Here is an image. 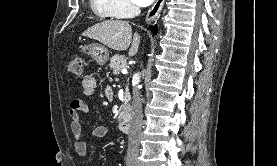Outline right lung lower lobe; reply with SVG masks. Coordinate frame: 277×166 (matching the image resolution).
<instances>
[{"instance_id": "obj_1", "label": "right lung lower lobe", "mask_w": 277, "mask_h": 166, "mask_svg": "<svg viewBox=\"0 0 277 166\" xmlns=\"http://www.w3.org/2000/svg\"><path fill=\"white\" fill-rule=\"evenodd\" d=\"M150 29H151V31H152V33L154 34V35H156V32H157V26L155 25V26H150Z\"/></svg>"}]
</instances>
